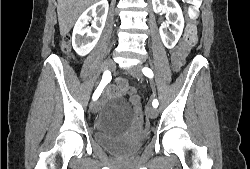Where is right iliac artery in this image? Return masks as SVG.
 Here are the masks:
<instances>
[{"label":"right iliac artery","mask_w":250,"mask_h":169,"mask_svg":"<svg viewBox=\"0 0 250 169\" xmlns=\"http://www.w3.org/2000/svg\"><path fill=\"white\" fill-rule=\"evenodd\" d=\"M111 79H112L111 72L109 70L105 71L103 73L102 80L99 86L97 87L96 91L93 94V97H92L93 100H97L99 98L104 87L111 81Z\"/></svg>","instance_id":"1"}]
</instances>
